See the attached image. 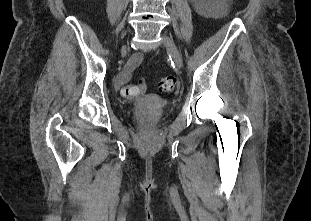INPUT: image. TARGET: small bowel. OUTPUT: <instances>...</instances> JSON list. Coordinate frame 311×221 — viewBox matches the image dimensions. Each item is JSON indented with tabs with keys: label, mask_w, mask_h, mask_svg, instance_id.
I'll use <instances>...</instances> for the list:
<instances>
[{
	"label": "small bowel",
	"mask_w": 311,
	"mask_h": 221,
	"mask_svg": "<svg viewBox=\"0 0 311 221\" xmlns=\"http://www.w3.org/2000/svg\"><path fill=\"white\" fill-rule=\"evenodd\" d=\"M143 60H144V57H143L142 54H137V55L135 56V58H134V62H135V63H140V62H142Z\"/></svg>",
	"instance_id": "obj_1"
}]
</instances>
